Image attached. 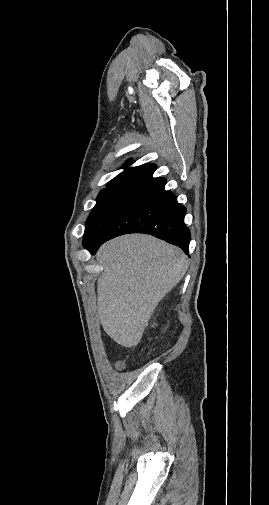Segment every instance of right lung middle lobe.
I'll return each mask as SVG.
<instances>
[{
  "label": "right lung middle lobe",
  "instance_id": "1",
  "mask_svg": "<svg viewBox=\"0 0 269 505\" xmlns=\"http://www.w3.org/2000/svg\"><path fill=\"white\" fill-rule=\"evenodd\" d=\"M139 190L130 188L107 187L100 191L97 204L91 211L85 228L83 245L94 243L117 212Z\"/></svg>",
  "mask_w": 269,
  "mask_h": 505
}]
</instances>
